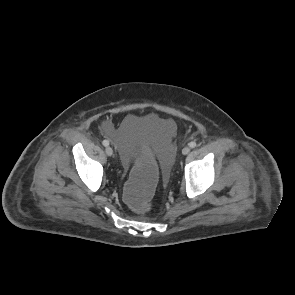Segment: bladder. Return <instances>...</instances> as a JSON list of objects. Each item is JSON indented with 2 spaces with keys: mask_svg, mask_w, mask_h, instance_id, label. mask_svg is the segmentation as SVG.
Returning <instances> with one entry per match:
<instances>
[{
  "mask_svg": "<svg viewBox=\"0 0 295 295\" xmlns=\"http://www.w3.org/2000/svg\"><path fill=\"white\" fill-rule=\"evenodd\" d=\"M174 132V123L168 118L156 114L126 116L111 133L121 149L116 155L119 167L129 169L132 165L129 156L132 158L133 147L146 141L156 147L161 171L163 169L167 176L172 175L174 160L170 142Z\"/></svg>",
  "mask_w": 295,
  "mask_h": 295,
  "instance_id": "obj_1",
  "label": "bladder"
}]
</instances>
